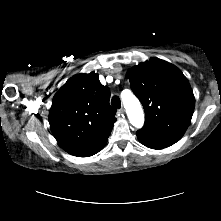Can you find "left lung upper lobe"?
<instances>
[{"mask_svg":"<svg viewBox=\"0 0 221 221\" xmlns=\"http://www.w3.org/2000/svg\"><path fill=\"white\" fill-rule=\"evenodd\" d=\"M127 78L145 109L143 128L182 137L195 106L192 89L183 73L166 61L151 58L131 68Z\"/></svg>","mask_w":221,"mask_h":221,"instance_id":"left-lung-upper-lobe-1","label":"left lung upper lobe"}]
</instances>
